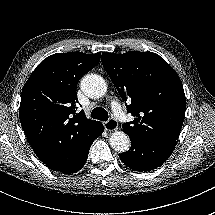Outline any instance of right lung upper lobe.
<instances>
[{
    "label": "right lung upper lobe",
    "mask_w": 215,
    "mask_h": 215,
    "mask_svg": "<svg viewBox=\"0 0 215 215\" xmlns=\"http://www.w3.org/2000/svg\"><path fill=\"white\" fill-rule=\"evenodd\" d=\"M100 53H57L44 59L25 83L19 109L24 133L46 165L65 162L75 139L97 121L76 112L79 79L100 61Z\"/></svg>",
    "instance_id": "cb5924a9"
}]
</instances>
